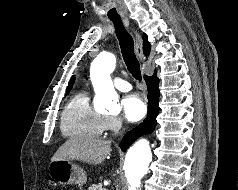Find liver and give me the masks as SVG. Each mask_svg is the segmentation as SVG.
Here are the masks:
<instances>
[{"label": "liver", "mask_w": 238, "mask_h": 190, "mask_svg": "<svg viewBox=\"0 0 238 190\" xmlns=\"http://www.w3.org/2000/svg\"><path fill=\"white\" fill-rule=\"evenodd\" d=\"M111 141L88 137H70L51 158V162L82 161L88 164H101L110 153Z\"/></svg>", "instance_id": "liver-1"}]
</instances>
